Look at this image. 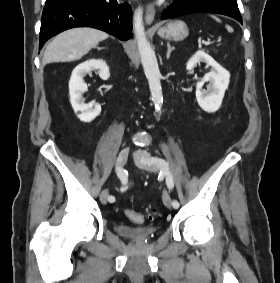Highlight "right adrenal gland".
Segmentation results:
<instances>
[{
  "instance_id": "2a0ac1e0",
  "label": "right adrenal gland",
  "mask_w": 280,
  "mask_h": 283,
  "mask_svg": "<svg viewBox=\"0 0 280 283\" xmlns=\"http://www.w3.org/2000/svg\"><path fill=\"white\" fill-rule=\"evenodd\" d=\"M99 49H105V47H101V48H99Z\"/></svg>"
}]
</instances>
